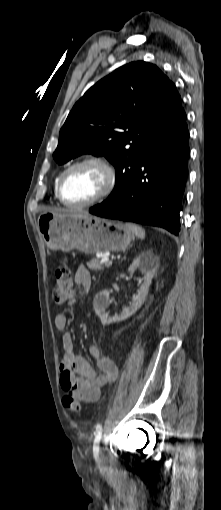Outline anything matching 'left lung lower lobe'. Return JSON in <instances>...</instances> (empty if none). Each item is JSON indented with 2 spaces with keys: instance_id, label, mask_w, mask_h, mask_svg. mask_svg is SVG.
Segmentation results:
<instances>
[{
  "instance_id": "0a47b994",
  "label": "left lung lower lobe",
  "mask_w": 221,
  "mask_h": 510,
  "mask_svg": "<svg viewBox=\"0 0 221 510\" xmlns=\"http://www.w3.org/2000/svg\"><path fill=\"white\" fill-rule=\"evenodd\" d=\"M188 128L156 142L129 185L115 198L89 209L104 218L162 227L178 235L188 177Z\"/></svg>"
}]
</instances>
